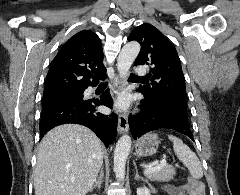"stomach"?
Listing matches in <instances>:
<instances>
[{"instance_id": "obj_1", "label": "stomach", "mask_w": 240, "mask_h": 195, "mask_svg": "<svg viewBox=\"0 0 240 195\" xmlns=\"http://www.w3.org/2000/svg\"><path fill=\"white\" fill-rule=\"evenodd\" d=\"M160 139L156 133H146L135 143L137 155H154L158 149Z\"/></svg>"}]
</instances>
